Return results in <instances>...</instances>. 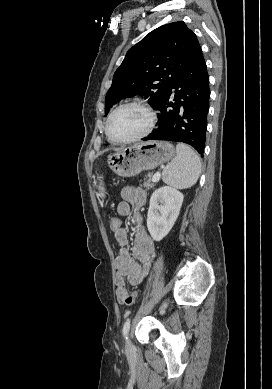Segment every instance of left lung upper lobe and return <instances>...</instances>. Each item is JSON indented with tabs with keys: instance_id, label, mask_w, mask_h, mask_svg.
<instances>
[{
	"instance_id": "5c2ea615",
	"label": "left lung upper lobe",
	"mask_w": 272,
	"mask_h": 389,
	"mask_svg": "<svg viewBox=\"0 0 272 389\" xmlns=\"http://www.w3.org/2000/svg\"><path fill=\"white\" fill-rule=\"evenodd\" d=\"M200 49L196 35L183 21L163 25L128 50L105 97V115L126 96L142 95L157 108L171 82Z\"/></svg>"
}]
</instances>
